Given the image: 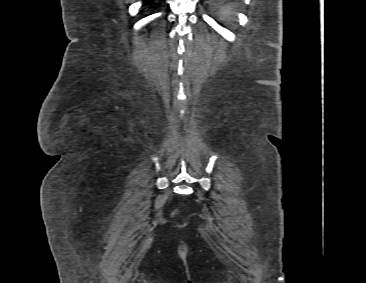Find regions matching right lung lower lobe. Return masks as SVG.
I'll return each mask as SVG.
<instances>
[{
	"label": "right lung lower lobe",
	"instance_id": "right-lung-lower-lobe-1",
	"mask_svg": "<svg viewBox=\"0 0 366 283\" xmlns=\"http://www.w3.org/2000/svg\"><path fill=\"white\" fill-rule=\"evenodd\" d=\"M152 1V0H151ZM148 2H150V0H144V4H146V3H148Z\"/></svg>",
	"mask_w": 366,
	"mask_h": 283
}]
</instances>
